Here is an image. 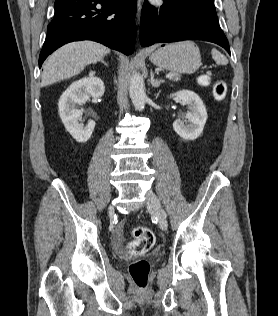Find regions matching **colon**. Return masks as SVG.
I'll list each match as a JSON object with an SVG mask.
<instances>
[{"instance_id":"1","label":"colon","mask_w":278,"mask_h":316,"mask_svg":"<svg viewBox=\"0 0 278 316\" xmlns=\"http://www.w3.org/2000/svg\"><path fill=\"white\" fill-rule=\"evenodd\" d=\"M202 85L211 86L212 94L216 100H223L227 93V85L223 80L212 81L207 76L200 78ZM155 235L152 230L140 227L135 229L133 239L127 245V252L132 256H141L148 252L154 245ZM129 273L134 285L144 289L148 284L150 265L148 261L140 259L131 263Z\"/></svg>"}]
</instances>
